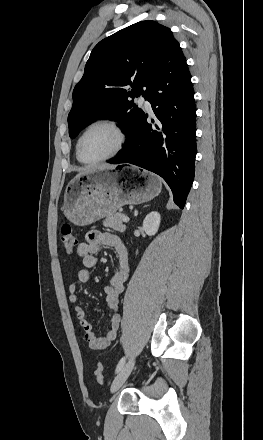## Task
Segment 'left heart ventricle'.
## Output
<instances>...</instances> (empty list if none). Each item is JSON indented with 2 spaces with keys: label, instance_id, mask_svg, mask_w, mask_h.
<instances>
[{
  "label": "left heart ventricle",
  "instance_id": "obj_1",
  "mask_svg": "<svg viewBox=\"0 0 263 440\" xmlns=\"http://www.w3.org/2000/svg\"><path fill=\"white\" fill-rule=\"evenodd\" d=\"M118 135L107 125H98L90 129L81 142V157L93 161L110 154L117 146Z\"/></svg>",
  "mask_w": 263,
  "mask_h": 440
}]
</instances>
